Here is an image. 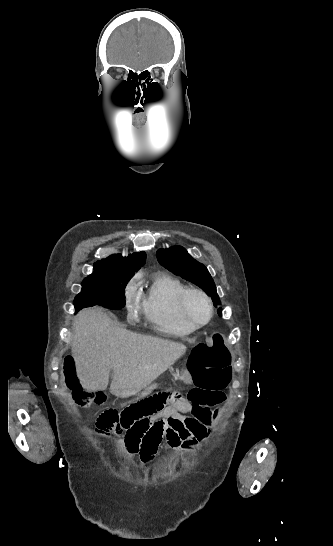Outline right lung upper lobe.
<instances>
[{"instance_id":"cb5924a9","label":"right lung upper lobe","mask_w":333,"mask_h":546,"mask_svg":"<svg viewBox=\"0 0 333 546\" xmlns=\"http://www.w3.org/2000/svg\"><path fill=\"white\" fill-rule=\"evenodd\" d=\"M145 260V252L133 253L128 257H122L121 254H114L94 263V269H113L136 272L145 264Z\"/></svg>"}]
</instances>
